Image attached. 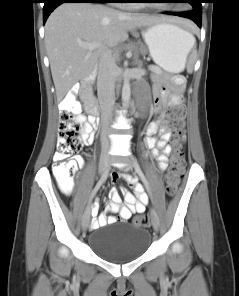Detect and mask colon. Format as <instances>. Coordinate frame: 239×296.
Wrapping results in <instances>:
<instances>
[{
    "instance_id": "1",
    "label": "colon",
    "mask_w": 239,
    "mask_h": 296,
    "mask_svg": "<svg viewBox=\"0 0 239 296\" xmlns=\"http://www.w3.org/2000/svg\"><path fill=\"white\" fill-rule=\"evenodd\" d=\"M175 79L183 80L178 76ZM77 111L78 106L73 97H66L61 102L57 152L54 156V173L60 188L64 192L71 189L77 168L76 156L82 148V139L79 136L81 124L75 117ZM185 115L186 110L182 103L176 104L169 111V118L173 126L172 144L174 150L165 176V187L167 194L171 197L177 193L185 166V136L183 132ZM132 221L137 226H146L148 217L146 215H136Z\"/></svg>"
}]
</instances>
